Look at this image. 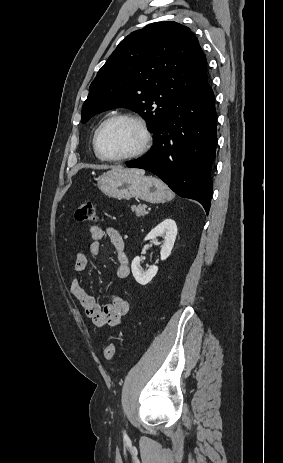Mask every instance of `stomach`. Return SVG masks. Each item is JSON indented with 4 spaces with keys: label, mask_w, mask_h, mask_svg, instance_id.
<instances>
[{
    "label": "stomach",
    "mask_w": 283,
    "mask_h": 463,
    "mask_svg": "<svg viewBox=\"0 0 283 463\" xmlns=\"http://www.w3.org/2000/svg\"><path fill=\"white\" fill-rule=\"evenodd\" d=\"M98 186L105 195L119 200L137 198L161 203L173 197L161 180L134 172L109 171L98 178Z\"/></svg>",
    "instance_id": "obj_1"
}]
</instances>
